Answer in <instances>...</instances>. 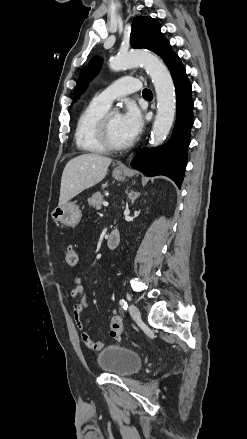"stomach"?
I'll return each mask as SVG.
<instances>
[{"label": "stomach", "mask_w": 247, "mask_h": 439, "mask_svg": "<svg viewBox=\"0 0 247 439\" xmlns=\"http://www.w3.org/2000/svg\"><path fill=\"white\" fill-rule=\"evenodd\" d=\"M113 177L117 180H124L127 171L114 169L112 173ZM52 218L69 227H75L81 219V211L79 207L73 202H67L62 206H57L51 213Z\"/></svg>", "instance_id": "obj_1"}]
</instances>
